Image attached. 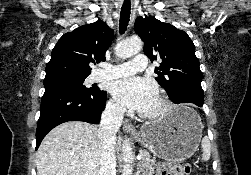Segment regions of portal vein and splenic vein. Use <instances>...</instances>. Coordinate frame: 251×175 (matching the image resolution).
I'll return each mask as SVG.
<instances>
[{
    "mask_svg": "<svg viewBox=\"0 0 251 175\" xmlns=\"http://www.w3.org/2000/svg\"><path fill=\"white\" fill-rule=\"evenodd\" d=\"M137 159H142V155H137ZM84 175H88V173H84Z\"/></svg>",
    "mask_w": 251,
    "mask_h": 175,
    "instance_id": "obj_1",
    "label": "portal vein and splenic vein"
}]
</instances>
